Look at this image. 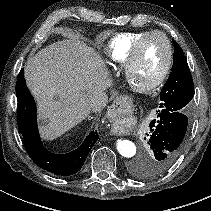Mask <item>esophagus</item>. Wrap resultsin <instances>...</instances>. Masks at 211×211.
Segmentation results:
<instances>
[{
    "label": "esophagus",
    "mask_w": 211,
    "mask_h": 211,
    "mask_svg": "<svg viewBox=\"0 0 211 211\" xmlns=\"http://www.w3.org/2000/svg\"><path fill=\"white\" fill-rule=\"evenodd\" d=\"M120 103H122V100H120V99H118V100L115 101V104H120Z\"/></svg>",
    "instance_id": "34e87169"
}]
</instances>
